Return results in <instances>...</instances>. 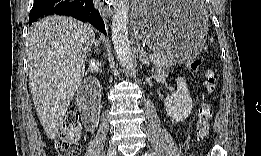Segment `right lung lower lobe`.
<instances>
[{
	"mask_svg": "<svg viewBox=\"0 0 261 156\" xmlns=\"http://www.w3.org/2000/svg\"><path fill=\"white\" fill-rule=\"evenodd\" d=\"M51 14L68 15L89 22L106 34L104 21L98 10L94 8L92 0H34L29 23Z\"/></svg>",
	"mask_w": 261,
	"mask_h": 156,
	"instance_id": "98d812e1",
	"label": "right lung lower lobe"
}]
</instances>
